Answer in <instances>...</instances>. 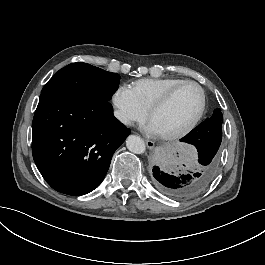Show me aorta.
<instances>
[{"label": "aorta", "mask_w": 265, "mask_h": 265, "mask_svg": "<svg viewBox=\"0 0 265 265\" xmlns=\"http://www.w3.org/2000/svg\"><path fill=\"white\" fill-rule=\"evenodd\" d=\"M128 150L134 154L141 155L146 151L144 140L138 136L131 135L126 141Z\"/></svg>", "instance_id": "762f6f07"}]
</instances>
